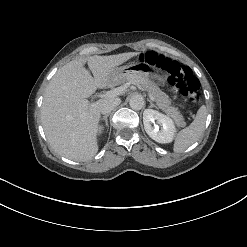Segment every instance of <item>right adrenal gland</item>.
I'll use <instances>...</instances> for the list:
<instances>
[{
  "instance_id": "right-adrenal-gland-1",
  "label": "right adrenal gland",
  "mask_w": 247,
  "mask_h": 247,
  "mask_svg": "<svg viewBox=\"0 0 247 247\" xmlns=\"http://www.w3.org/2000/svg\"><path fill=\"white\" fill-rule=\"evenodd\" d=\"M108 116H109V115H108V114H106V115H104V116H103V118H102V120H104V121H105L106 126H108V119H107V118H108Z\"/></svg>"
}]
</instances>
